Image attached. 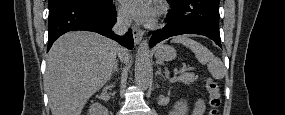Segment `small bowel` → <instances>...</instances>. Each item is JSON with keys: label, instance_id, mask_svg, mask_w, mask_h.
<instances>
[{"label": "small bowel", "instance_id": "obj_1", "mask_svg": "<svg viewBox=\"0 0 285 115\" xmlns=\"http://www.w3.org/2000/svg\"><path fill=\"white\" fill-rule=\"evenodd\" d=\"M204 112V103L201 99H196L194 102L193 114L202 115Z\"/></svg>", "mask_w": 285, "mask_h": 115}]
</instances>
